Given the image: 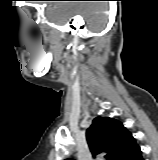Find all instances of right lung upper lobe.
<instances>
[{"label":"right lung upper lobe","mask_w":158,"mask_h":160,"mask_svg":"<svg viewBox=\"0 0 158 160\" xmlns=\"http://www.w3.org/2000/svg\"><path fill=\"white\" fill-rule=\"evenodd\" d=\"M93 156L106 153L107 160H125L137 147L132 134L113 118L96 117L86 131Z\"/></svg>","instance_id":"right-lung-upper-lobe-1"}]
</instances>
